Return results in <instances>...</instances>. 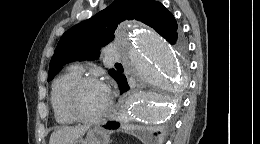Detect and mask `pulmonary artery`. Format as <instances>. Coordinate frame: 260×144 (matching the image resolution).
<instances>
[{"label":"pulmonary artery","mask_w":260,"mask_h":144,"mask_svg":"<svg viewBox=\"0 0 260 144\" xmlns=\"http://www.w3.org/2000/svg\"><path fill=\"white\" fill-rule=\"evenodd\" d=\"M104 52L111 61H117L123 59L121 53H119V51L114 47H107ZM74 68H76L80 72L83 71V67L79 64L75 65Z\"/></svg>","instance_id":"obj_1"}]
</instances>
